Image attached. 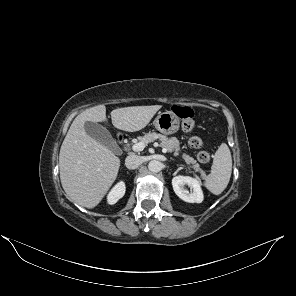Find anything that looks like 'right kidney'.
I'll return each instance as SVG.
<instances>
[{
  "instance_id": "obj_1",
  "label": "right kidney",
  "mask_w": 296,
  "mask_h": 296,
  "mask_svg": "<svg viewBox=\"0 0 296 296\" xmlns=\"http://www.w3.org/2000/svg\"><path fill=\"white\" fill-rule=\"evenodd\" d=\"M125 183L120 181L117 183L112 190L109 192L107 196V201L110 205L115 204L120 198H122L125 194Z\"/></svg>"
}]
</instances>
